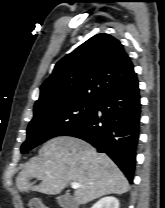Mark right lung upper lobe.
Listing matches in <instances>:
<instances>
[{
    "mask_svg": "<svg viewBox=\"0 0 165 208\" xmlns=\"http://www.w3.org/2000/svg\"><path fill=\"white\" fill-rule=\"evenodd\" d=\"M134 74L119 40L97 34L62 58L40 88L34 110L67 101H98Z\"/></svg>",
    "mask_w": 165,
    "mask_h": 208,
    "instance_id": "1",
    "label": "right lung upper lobe"
}]
</instances>
